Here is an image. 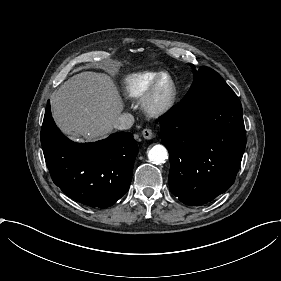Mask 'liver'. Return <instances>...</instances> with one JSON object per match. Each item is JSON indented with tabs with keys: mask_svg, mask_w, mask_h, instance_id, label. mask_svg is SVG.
Segmentation results:
<instances>
[{
	"mask_svg": "<svg viewBox=\"0 0 281 281\" xmlns=\"http://www.w3.org/2000/svg\"><path fill=\"white\" fill-rule=\"evenodd\" d=\"M53 120L65 134L86 142L108 138L115 132L125 103L114 79L105 72L84 71L70 77L50 97Z\"/></svg>",
	"mask_w": 281,
	"mask_h": 281,
	"instance_id": "1",
	"label": "liver"
}]
</instances>
